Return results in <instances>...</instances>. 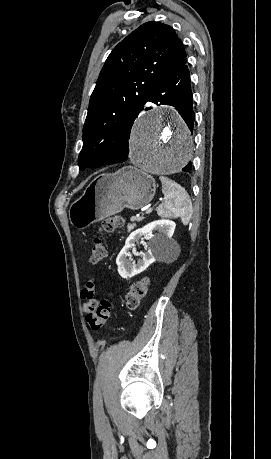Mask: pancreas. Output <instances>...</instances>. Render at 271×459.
<instances>
[{"label":"pancreas","mask_w":271,"mask_h":459,"mask_svg":"<svg viewBox=\"0 0 271 459\" xmlns=\"http://www.w3.org/2000/svg\"><path fill=\"white\" fill-rule=\"evenodd\" d=\"M131 222H141V220H144L143 216H141V218H136V216H132V218H130ZM135 226V224H127V229L128 231H130V229H133Z\"/></svg>","instance_id":"obj_1"}]
</instances>
